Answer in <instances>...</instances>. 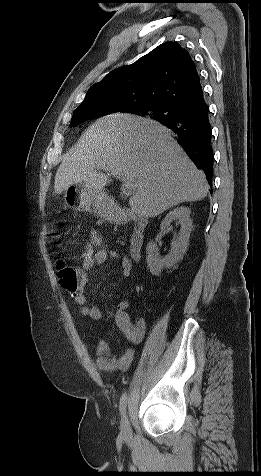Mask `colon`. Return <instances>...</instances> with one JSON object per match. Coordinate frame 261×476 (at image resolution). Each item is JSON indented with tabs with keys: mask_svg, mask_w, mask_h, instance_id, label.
<instances>
[{
	"mask_svg": "<svg viewBox=\"0 0 261 476\" xmlns=\"http://www.w3.org/2000/svg\"><path fill=\"white\" fill-rule=\"evenodd\" d=\"M57 276L61 286L69 293L76 292L80 286L81 276L78 270L75 267L68 265L64 261L58 262Z\"/></svg>",
	"mask_w": 261,
	"mask_h": 476,
	"instance_id": "1",
	"label": "colon"
}]
</instances>
